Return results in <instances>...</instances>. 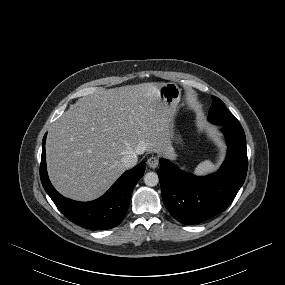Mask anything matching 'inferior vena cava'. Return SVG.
Returning a JSON list of instances; mask_svg holds the SVG:
<instances>
[{
	"mask_svg": "<svg viewBox=\"0 0 285 285\" xmlns=\"http://www.w3.org/2000/svg\"><path fill=\"white\" fill-rule=\"evenodd\" d=\"M138 157L136 154H130L123 158L122 162L125 168H132L137 164Z\"/></svg>",
	"mask_w": 285,
	"mask_h": 285,
	"instance_id": "obj_1",
	"label": "inferior vena cava"
}]
</instances>
